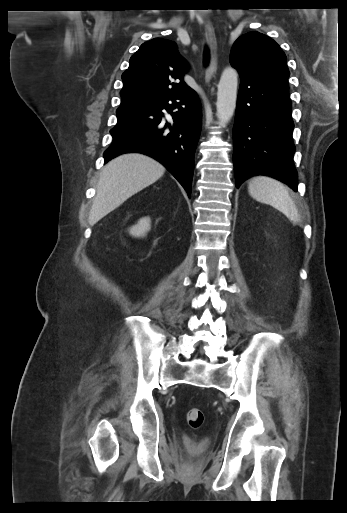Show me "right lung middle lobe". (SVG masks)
<instances>
[{"mask_svg":"<svg viewBox=\"0 0 347 513\" xmlns=\"http://www.w3.org/2000/svg\"><path fill=\"white\" fill-rule=\"evenodd\" d=\"M122 111H124V109H123V108H120V107H119V109L117 110V112H122Z\"/></svg>","mask_w":347,"mask_h":513,"instance_id":"dd1d6c3e","label":"right lung middle lobe"}]
</instances>
